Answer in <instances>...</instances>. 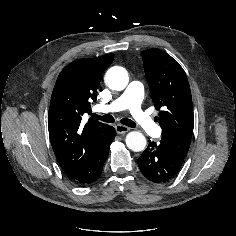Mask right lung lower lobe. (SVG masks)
Listing matches in <instances>:
<instances>
[{
	"instance_id": "1",
	"label": "right lung lower lobe",
	"mask_w": 236,
	"mask_h": 236,
	"mask_svg": "<svg viewBox=\"0 0 236 236\" xmlns=\"http://www.w3.org/2000/svg\"><path fill=\"white\" fill-rule=\"evenodd\" d=\"M114 138L115 129L108 125L86 164L77 174L71 176V179L82 185L96 181L102 172L103 165L108 157L110 144Z\"/></svg>"
}]
</instances>
